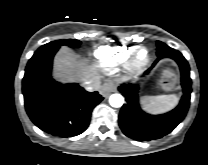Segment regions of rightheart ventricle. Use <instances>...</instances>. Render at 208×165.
Instances as JSON below:
<instances>
[{
	"label": "right heart ventricle",
	"instance_id": "obj_1",
	"mask_svg": "<svg viewBox=\"0 0 208 165\" xmlns=\"http://www.w3.org/2000/svg\"><path fill=\"white\" fill-rule=\"evenodd\" d=\"M135 48L101 46L93 55L101 67L111 69L118 63L128 59L135 52Z\"/></svg>",
	"mask_w": 208,
	"mask_h": 165
}]
</instances>
